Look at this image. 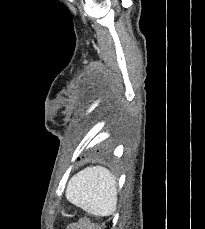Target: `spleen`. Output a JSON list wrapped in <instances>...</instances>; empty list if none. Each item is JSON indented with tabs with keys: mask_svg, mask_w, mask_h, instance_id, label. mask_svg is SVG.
I'll return each mask as SVG.
<instances>
[{
	"mask_svg": "<svg viewBox=\"0 0 205 229\" xmlns=\"http://www.w3.org/2000/svg\"><path fill=\"white\" fill-rule=\"evenodd\" d=\"M69 202L96 216L112 215L117 207V182L102 166L87 167L68 182Z\"/></svg>",
	"mask_w": 205,
	"mask_h": 229,
	"instance_id": "spleen-1",
	"label": "spleen"
}]
</instances>
